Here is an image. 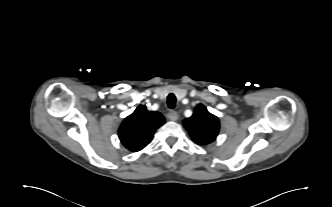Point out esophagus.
<instances>
[{"instance_id":"esophagus-1","label":"esophagus","mask_w":332,"mask_h":207,"mask_svg":"<svg viewBox=\"0 0 332 207\" xmlns=\"http://www.w3.org/2000/svg\"><path fill=\"white\" fill-rule=\"evenodd\" d=\"M167 117L168 119L172 120V121H176L178 120L179 118V115L176 111H170L168 114H167Z\"/></svg>"}]
</instances>
